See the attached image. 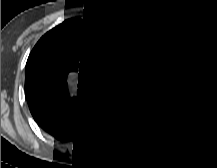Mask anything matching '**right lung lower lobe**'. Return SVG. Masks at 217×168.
I'll return each instance as SVG.
<instances>
[{"instance_id":"1","label":"right lung lower lobe","mask_w":217,"mask_h":168,"mask_svg":"<svg viewBox=\"0 0 217 168\" xmlns=\"http://www.w3.org/2000/svg\"><path fill=\"white\" fill-rule=\"evenodd\" d=\"M94 105L86 99H65L34 117L40 128L58 140L75 141L88 130Z\"/></svg>"}]
</instances>
